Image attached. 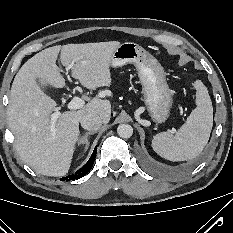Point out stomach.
<instances>
[{
	"mask_svg": "<svg viewBox=\"0 0 233 233\" xmlns=\"http://www.w3.org/2000/svg\"><path fill=\"white\" fill-rule=\"evenodd\" d=\"M126 64L136 67L142 84L143 102L151 119L157 124L165 122L172 105V95L161 64L138 44L124 42L113 52L110 66L118 68Z\"/></svg>",
	"mask_w": 233,
	"mask_h": 233,
	"instance_id": "1",
	"label": "stomach"
}]
</instances>
